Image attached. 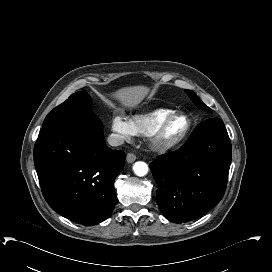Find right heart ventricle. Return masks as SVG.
Listing matches in <instances>:
<instances>
[{
	"mask_svg": "<svg viewBox=\"0 0 272 272\" xmlns=\"http://www.w3.org/2000/svg\"><path fill=\"white\" fill-rule=\"evenodd\" d=\"M174 111L169 109H160L149 115L135 116L132 119L133 126L139 133L149 136L167 117Z\"/></svg>",
	"mask_w": 272,
	"mask_h": 272,
	"instance_id": "1",
	"label": "right heart ventricle"
}]
</instances>
